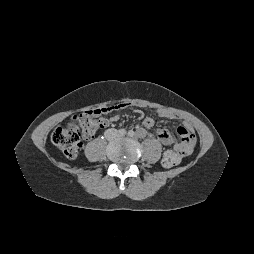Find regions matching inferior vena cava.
Listing matches in <instances>:
<instances>
[{"mask_svg": "<svg viewBox=\"0 0 254 254\" xmlns=\"http://www.w3.org/2000/svg\"><path fill=\"white\" fill-rule=\"evenodd\" d=\"M111 133H114V135H117L116 130L109 129V130H107V131L105 132V136H106L107 138H109V136H110Z\"/></svg>", "mask_w": 254, "mask_h": 254, "instance_id": "obj_1", "label": "inferior vena cava"}]
</instances>
